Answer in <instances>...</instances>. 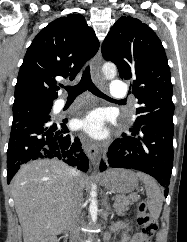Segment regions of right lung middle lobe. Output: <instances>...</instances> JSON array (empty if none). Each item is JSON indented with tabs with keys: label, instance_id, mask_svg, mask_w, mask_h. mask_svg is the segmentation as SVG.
I'll use <instances>...</instances> for the list:
<instances>
[{
	"label": "right lung middle lobe",
	"instance_id": "dd1d6c3e",
	"mask_svg": "<svg viewBox=\"0 0 187 242\" xmlns=\"http://www.w3.org/2000/svg\"><path fill=\"white\" fill-rule=\"evenodd\" d=\"M52 104H27L13 107V122L26 118L49 115Z\"/></svg>",
	"mask_w": 187,
	"mask_h": 242
}]
</instances>
